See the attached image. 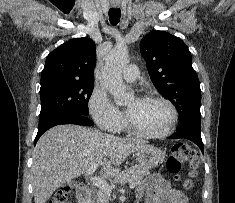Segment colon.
Here are the masks:
<instances>
[{"mask_svg": "<svg viewBox=\"0 0 235 203\" xmlns=\"http://www.w3.org/2000/svg\"><path fill=\"white\" fill-rule=\"evenodd\" d=\"M198 165L196 151L188 144H176L171 149V154L167 160V170L179 176L184 167L188 168L187 177L183 180V185L189 188L192 185V178L195 177V169ZM47 203H71V188L69 186L60 187Z\"/></svg>", "mask_w": 235, "mask_h": 203, "instance_id": "1", "label": "colon"}]
</instances>
